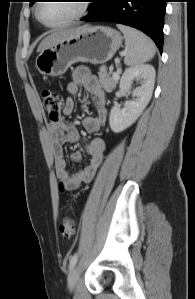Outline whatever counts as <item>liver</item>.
<instances>
[{"instance_id": "6515ba94", "label": "liver", "mask_w": 195, "mask_h": 299, "mask_svg": "<svg viewBox=\"0 0 195 299\" xmlns=\"http://www.w3.org/2000/svg\"><path fill=\"white\" fill-rule=\"evenodd\" d=\"M76 29L77 28L60 29L52 32L41 41L37 48V51L42 52L43 50L51 47L52 45L61 41L63 38L71 35Z\"/></svg>"}]
</instances>
